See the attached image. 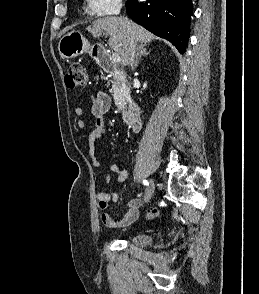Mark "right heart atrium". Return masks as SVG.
<instances>
[{
  "instance_id": "right-heart-atrium-1",
  "label": "right heart atrium",
  "mask_w": 259,
  "mask_h": 294,
  "mask_svg": "<svg viewBox=\"0 0 259 294\" xmlns=\"http://www.w3.org/2000/svg\"><path fill=\"white\" fill-rule=\"evenodd\" d=\"M88 10L99 17H104L117 13L121 6L122 0H86Z\"/></svg>"
}]
</instances>
